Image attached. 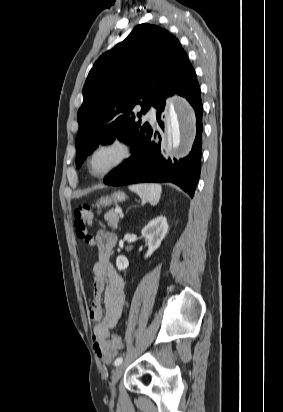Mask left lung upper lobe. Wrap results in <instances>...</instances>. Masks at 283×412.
<instances>
[{
  "mask_svg": "<svg viewBox=\"0 0 283 412\" xmlns=\"http://www.w3.org/2000/svg\"><path fill=\"white\" fill-rule=\"evenodd\" d=\"M193 70L179 41L165 29L140 24L93 65L83 87L75 140L76 167L99 143L127 144L150 125L140 118L165 104L177 83ZM141 107L136 113V107Z\"/></svg>",
  "mask_w": 283,
  "mask_h": 412,
  "instance_id": "1",
  "label": "left lung upper lobe"
}]
</instances>
